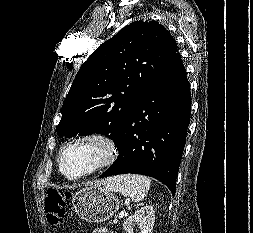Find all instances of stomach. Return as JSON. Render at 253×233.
I'll return each mask as SVG.
<instances>
[{"mask_svg": "<svg viewBox=\"0 0 253 233\" xmlns=\"http://www.w3.org/2000/svg\"><path fill=\"white\" fill-rule=\"evenodd\" d=\"M77 215L88 222H103L118 210L121 201L106 188L93 184L77 191L72 198Z\"/></svg>", "mask_w": 253, "mask_h": 233, "instance_id": "0dacf381", "label": "stomach"}]
</instances>
